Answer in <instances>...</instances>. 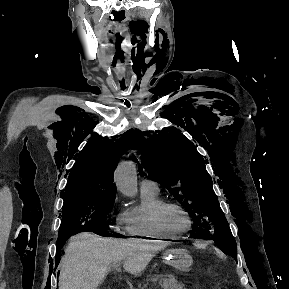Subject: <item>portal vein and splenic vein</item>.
Listing matches in <instances>:
<instances>
[{
    "instance_id": "18ae733b",
    "label": "portal vein and splenic vein",
    "mask_w": 289,
    "mask_h": 289,
    "mask_svg": "<svg viewBox=\"0 0 289 289\" xmlns=\"http://www.w3.org/2000/svg\"><path fill=\"white\" fill-rule=\"evenodd\" d=\"M113 267H114V268H117V267H118V264H116V265H113Z\"/></svg>"
}]
</instances>
